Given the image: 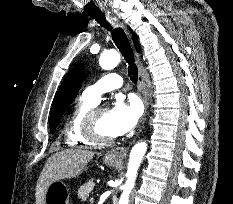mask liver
<instances>
[{
  "instance_id": "obj_1",
  "label": "liver",
  "mask_w": 233,
  "mask_h": 204,
  "mask_svg": "<svg viewBox=\"0 0 233 204\" xmlns=\"http://www.w3.org/2000/svg\"><path fill=\"white\" fill-rule=\"evenodd\" d=\"M95 155L82 149H67L53 154L45 163L36 185V204H43L48 186L55 181L78 177Z\"/></svg>"
}]
</instances>
